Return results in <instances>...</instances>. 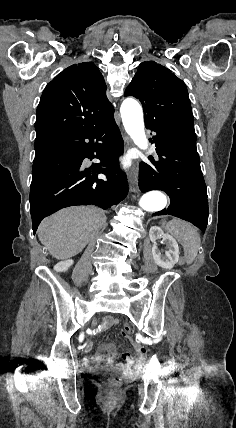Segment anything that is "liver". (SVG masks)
<instances>
[{
	"mask_svg": "<svg viewBox=\"0 0 236 428\" xmlns=\"http://www.w3.org/2000/svg\"><path fill=\"white\" fill-rule=\"evenodd\" d=\"M106 220L103 210L94 206L65 208L42 220L38 238L53 258L66 260L82 252Z\"/></svg>",
	"mask_w": 236,
	"mask_h": 428,
	"instance_id": "6515ba94",
	"label": "liver"
}]
</instances>
